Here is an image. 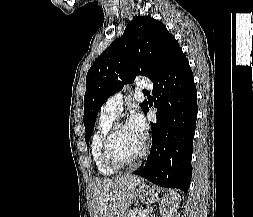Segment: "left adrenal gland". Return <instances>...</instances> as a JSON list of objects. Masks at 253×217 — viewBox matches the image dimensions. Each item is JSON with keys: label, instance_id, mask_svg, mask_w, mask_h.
<instances>
[{"label": "left adrenal gland", "instance_id": "left-adrenal-gland-1", "mask_svg": "<svg viewBox=\"0 0 253 217\" xmlns=\"http://www.w3.org/2000/svg\"><path fill=\"white\" fill-rule=\"evenodd\" d=\"M155 201H159V198L156 197V198H152L149 200V204L147 205L148 213H147L146 217H155L153 214V207H151V204L154 203Z\"/></svg>", "mask_w": 253, "mask_h": 217}]
</instances>
